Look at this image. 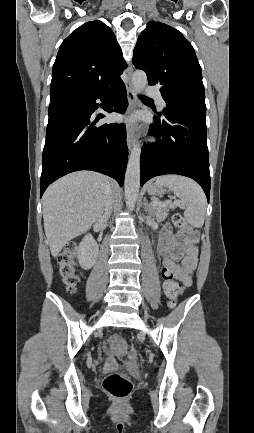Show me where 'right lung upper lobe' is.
<instances>
[{
	"mask_svg": "<svg viewBox=\"0 0 254 433\" xmlns=\"http://www.w3.org/2000/svg\"><path fill=\"white\" fill-rule=\"evenodd\" d=\"M127 67L110 27L95 20L77 28L61 44L53 65L50 95L97 92L121 82Z\"/></svg>",
	"mask_w": 254,
	"mask_h": 433,
	"instance_id": "cb5924a9",
	"label": "right lung upper lobe"
}]
</instances>
